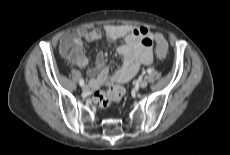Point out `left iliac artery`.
I'll list each match as a JSON object with an SVG mask.
<instances>
[{
  "label": "left iliac artery",
  "instance_id": "1",
  "mask_svg": "<svg viewBox=\"0 0 230 155\" xmlns=\"http://www.w3.org/2000/svg\"><path fill=\"white\" fill-rule=\"evenodd\" d=\"M147 72H148V73H151V69H148Z\"/></svg>",
  "mask_w": 230,
  "mask_h": 155
}]
</instances>
